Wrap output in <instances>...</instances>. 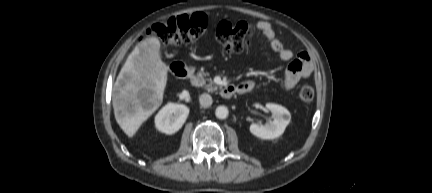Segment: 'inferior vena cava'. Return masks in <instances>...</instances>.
I'll return each instance as SVG.
<instances>
[{"label": "inferior vena cava", "mask_w": 432, "mask_h": 193, "mask_svg": "<svg viewBox=\"0 0 432 193\" xmlns=\"http://www.w3.org/2000/svg\"><path fill=\"white\" fill-rule=\"evenodd\" d=\"M199 102L202 107H209L212 104V97L209 94H202L199 97Z\"/></svg>", "instance_id": "inferior-vena-cava-1"}]
</instances>
